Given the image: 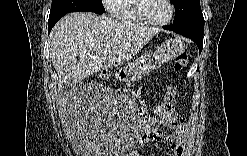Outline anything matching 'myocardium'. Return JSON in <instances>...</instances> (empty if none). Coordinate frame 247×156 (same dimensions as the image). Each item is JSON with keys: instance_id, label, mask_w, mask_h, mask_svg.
Listing matches in <instances>:
<instances>
[{"instance_id": "myocardium-1", "label": "myocardium", "mask_w": 247, "mask_h": 156, "mask_svg": "<svg viewBox=\"0 0 247 156\" xmlns=\"http://www.w3.org/2000/svg\"><path fill=\"white\" fill-rule=\"evenodd\" d=\"M166 5L168 6L169 9V13L168 16L165 19L162 20H154V19H149L147 17H145L142 12H141V3L143 1L140 0H136L133 1V5H132V10H133V14L135 15V17L137 18V20L145 25L148 26H164L166 24H168L174 16V6L172 4V2L170 0H164Z\"/></svg>"}]
</instances>
